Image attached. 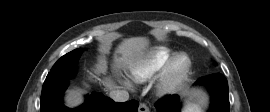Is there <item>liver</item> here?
<instances>
[{
	"mask_svg": "<svg viewBox=\"0 0 270 112\" xmlns=\"http://www.w3.org/2000/svg\"><path fill=\"white\" fill-rule=\"evenodd\" d=\"M149 40L145 37H132L124 39L116 49V54L120 57H114V68H127L134 70L144 59L145 50L148 47ZM101 67V63L98 65ZM103 84L108 89H113L114 85L110 79H105ZM80 101L78 99H68L70 105H76Z\"/></svg>",
	"mask_w": 270,
	"mask_h": 112,
	"instance_id": "obj_1",
	"label": "liver"
}]
</instances>
